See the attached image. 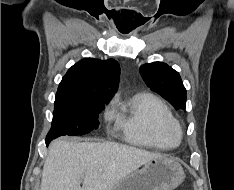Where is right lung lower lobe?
<instances>
[{"mask_svg":"<svg viewBox=\"0 0 234 190\" xmlns=\"http://www.w3.org/2000/svg\"><path fill=\"white\" fill-rule=\"evenodd\" d=\"M51 140H46V145L48 146V144L50 143Z\"/></svg>","mask_w":234,"mask_h":190,"instance_id":"obj_1","label":"right lung lower lobe"}]
</instances>
